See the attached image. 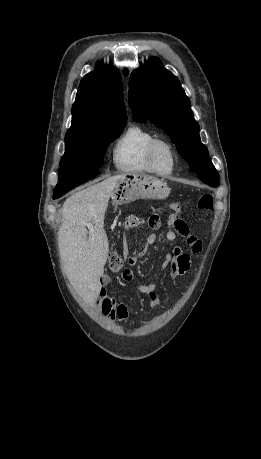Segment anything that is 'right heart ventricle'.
Listing matches in <instances>:
<instances>
[{
  "label": "right heart ventricle",
  "instance_id": "1",
  "mask_svg": "<svg viewBox=\"0 0 261 459\" xmlns=\"http://www.w3.org/2000/svg\"><path fill=\"white\" fill-rule=\"evenodd\" d=\"M155 138V133L146 127H128L113 147L115 167L121 172L154 173L148 161V148Z\"/></svg>",
  "mask_w": 261,
  "mask_h": 459
}]
</instances>
